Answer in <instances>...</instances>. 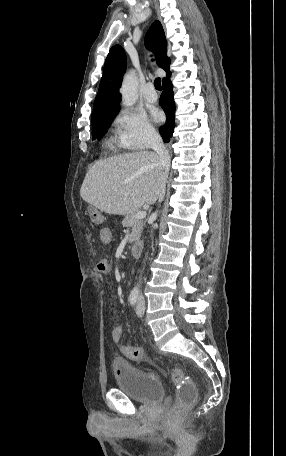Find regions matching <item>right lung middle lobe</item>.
<instances>
[{"instance_id": "1", "label": "right lung middle lobe", "mask_w": 286, "mask_h": 456, "mask_svg": "<svg viewBox=\"0 0 286 456\" xmlns=\"http://www.w3.org/2000/svg\"><path fill=\"white\" fill-rule=\"evenodd\" d=\"M119 108L114 109L105 113L104 115L98 117L94 121L91 122L93 125L92 129V137L93 140H100L103 135L107 132L108 128L110 127L114 117L118 114Z\"/></svg>"}]
</instances>
